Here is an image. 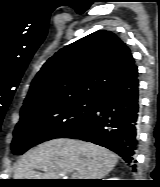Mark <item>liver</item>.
Instances as JSON below:
<instances>
[{
	"instance_id": "liver-1",
	"label": "liver",
	"mask_w": 160,
	"mask_h": 187,
	"mask_svg": "<svg viewBox=\"0 0 160 187\" xmlns=\"http://www.w3.org/2000/svg\"><path fill=\"white\" fill-rule=\"evenodd\" d=\"M117 162L118 157L106 148L60 138L26 152L17 162L14 179H59L61 173H76L72 179H101Z\"/></svg>"
}]
</instances>
